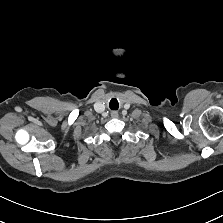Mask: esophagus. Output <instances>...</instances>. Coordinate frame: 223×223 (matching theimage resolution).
I'll return each instance as SVG.
<instances>
[{"label":"esophagus","mask_w":223,"mask_h":223,"mask_svg":"<svg viewBox=\"0 0 223 223\" xmlns=\"http://www.w3.org/2000/svg\"><path fill=\"white\" fill-rule=\"evenodd\" d=\"M111 117L112 118H117L118 117V112L117 111H112L111 112Z\"/></svg>","instance_id":"esophagus-1"}]
</instances>
